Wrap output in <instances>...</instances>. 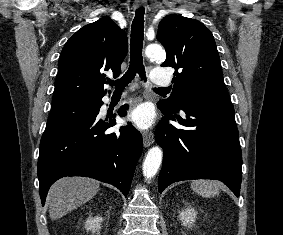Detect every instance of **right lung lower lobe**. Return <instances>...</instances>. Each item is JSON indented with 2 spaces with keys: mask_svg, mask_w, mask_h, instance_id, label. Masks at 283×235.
Here are the masks:
<instances>
[{
  "mask_svg": "<svg viewBox=\"0 0 283 235\" xmlns=\"http://www.w3.org/2000/svg\"><path fill=\"white\" fill-rule=\"evenodd\" d=\"M102 98L87 115L52 130H45L38 159L39 190L42 205L50 186L65 176H86L129 193L143 140L130 123L119 132L105 133L116 124L98 117ZM127 105L118 111L125 116Z\"/></svg>",
  "mask_w": 283,
  "mask_h": 235,
  "instance_id": "1",
  "label": "right lung lower lobe"
}]
</instances>
